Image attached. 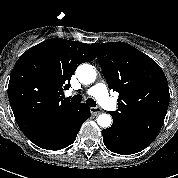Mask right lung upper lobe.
<instances>
[{
  "mask_svg": "<svg viewBox=\"0 0 178 178\" xmlns=\"http://www.w3.org/2000/svg\"><path fill=\"white\" fill-rule=\"evenodd\" d=\"M90 44L51 38L31 47L10 75L8 97L15 119L28 139L66 128L82 103L64 99L76 68L95 59Z\"/></svg>",
  "mask_w": 178,
  "mask_h": 178,
  "instance_id": "1",
  "label": "right lung upper lobe"
}]
</instances>
